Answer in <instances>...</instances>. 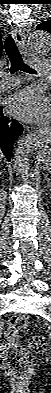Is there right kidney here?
Segmentation results:
<instances>
[{"mask_svg": "<svg viewBox=\"0 0 51 393\" xmlns=\"http://www.w3.org/2000/svg\"><path fill=\"white\" fill-rule=\"evenodd\" d=\"M0 194H1V195H0V206H1V210H3V209H4V206H5V199H6V197H5V195L3 194V192H1Z\"/></svg>", "mask_w": 51, "mask_h": 393, "instance_id": "ca27d5eb", "label": "right kidney"}]
</instances>
